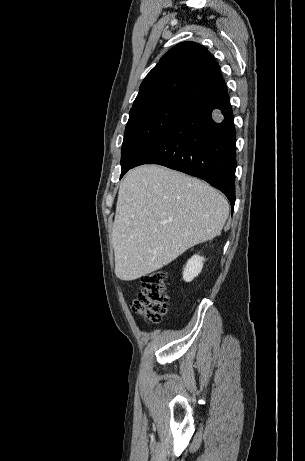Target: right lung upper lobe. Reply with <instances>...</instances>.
Returning <instances> with one entry per match:
<instances>
[{"label": "right lung upper lobe", "mask_w": 305, "mask_h": 461, "mask_svg": "<svg viewBox=\"0 0 305 461\" xmlns=\"http://www.w3.org/2000/svg\"><path fill=\"white\" fill-rule=\"evenodd\" d=\"M223 86L219 65L211 53L197 43L182 42L145 77L130 112L163 103L190 107Z\"/></svg>", "instance_id": "right-lung-upper-lobe-1"}]
</instances>
